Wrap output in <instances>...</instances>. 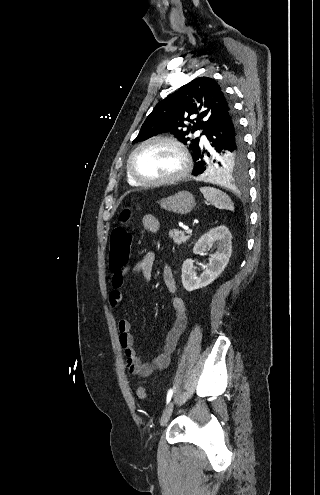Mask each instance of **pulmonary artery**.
Masks as SVG:
<instances>
[{
  "mask_svg": "<svg viewBox=\"0 0 320 495\" xmlns=\"http://www.w3.org/2000/svg\"><path fill=\"white\" fill-rule=\"evenodd\" d=\"M201 140L203 143H207V138L205 136H202Z\"/></svg>",
  "mask_w": 320,
  "mask_h": 495,
  "instance_id": "obj_1",
  "label": "pulmonary artery"
}]
</instances>
